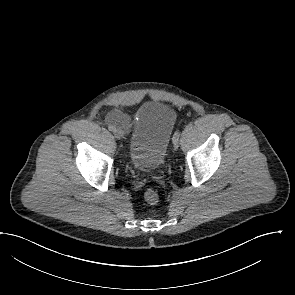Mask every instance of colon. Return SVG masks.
Wrapping results in <instances>:
<instances>
[{"label": "colon", "instance_id": "colon-1", "mask_svg": "<svg viewBox=\"0 0 295 295\" xmlns=\"http://www.w3.org/2000/svg\"><path fill=\"white\" fill-rule=\"evenodd\" d=\"M144 198L147 203L154 205L158 202L159 196L158 193L154 189H147L144 193Z\"/></svg>", "mask_w": 295, "mask_h": 295}]
</instances>
